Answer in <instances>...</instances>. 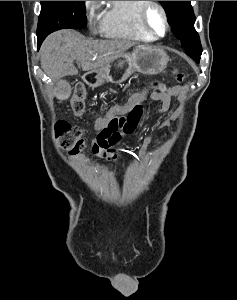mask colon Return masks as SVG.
Masks as SVG:
<instances>
[{"mask_svg":"<svg viewBox=\"0 0 237 300\" xmlns=\"http://www.w3.org/2000/svg\"><path fill=\"white\" fill-rule=\"evenodd\" d=\"M178 81H182L184 76L177 74ZM166 90L161 81H152L140 91L141 99L136 101L125 116H115L107 125L101 129L92 142L93 150L108 151L116 145L123 136L130 135L137 129L142 115V103L148 100H158L159 96ZM86 88L83 84H77L71 100V108L76 116H81L85 109ZM56 138L60 146L71 154L80 153L87 142L82 138L79 127L67 122H60L55 129Z\"/></svg>","mask_w":237,"mask_h":300,"instance_id":"obj_1","label":"colon"}]
</instances>
